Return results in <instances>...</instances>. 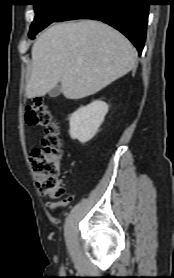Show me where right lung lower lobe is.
Here are the masks:
<instances>
[{
	"instance_id": "obj_1",
	"label": "right lung lower lobe",
	"mask_w": 174,
	"mask_h": 278,
	"mask_svg": "<svg viewBox=\"0 0 174 278\" xmlns=\"http://www.w3.org/2000/svg\"><path fill=\"white\" fill-rule=\"evenodd\" d=\"M147 0H75L55 20L94 19L122 32L141 53L148 22Z\"/></svg>"
}]
</instances>
